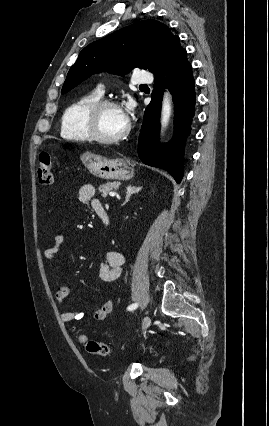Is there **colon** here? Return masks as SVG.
<instances>
[{
  "label": "colon",
  "mask_w": 269,
  "mask_h": 426,
  "mask_svg": "<svg viewBox=\"0 0 269 426\" xmlns=\"http://www.w3.org/2000/svg\"><path fill=\"white\" fill-rule=\"evenodd\" d=\"M38 178L43 185H50L53 182V164L48 152H42L39 156ZM78 340L90 354L107 356L110 353V345L107 343L90 340L85 335H79Z\"/></svg>",
  "instance_id": "obj_1"
}]
</instances>
